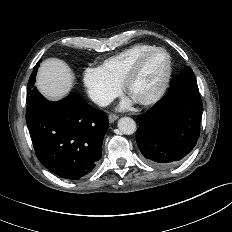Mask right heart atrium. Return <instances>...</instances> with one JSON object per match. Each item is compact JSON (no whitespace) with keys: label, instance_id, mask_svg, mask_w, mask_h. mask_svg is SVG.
<instances>
[{"label":"right heart atrium","instance_id":"d8ad5b80","mask_svg":"<svg viewBox=\"0 0 232 232\" xmlns=\"http://www.w3.org/2000/svg\"><path fill=\"white\" fill-rule=\"evenodd\" d=\"M83 83L90 98L100 106L108 105L121 91L120 84L100 67L86 68L83 73Z\"/></svg>","mask_w":232,"mask_h":232}]
</instances>
